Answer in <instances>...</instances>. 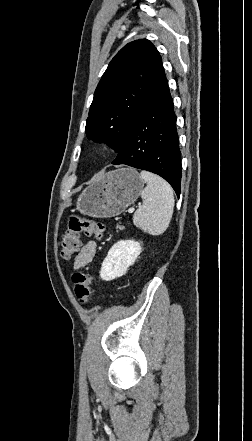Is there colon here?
I'll return each mask as SVG.
<instances>
[{
	"mask_svg": "<svg viewBox=\"0 0 252 441\" xmlns=\"http://www.w3.org/2000/svg\"><path fill=\"white\" fill-rule=\"evenodd\" d=\"M104 228L100 222L71 217L61 241L62 257L68 259L78 251L82 235L102 238ZM72 282L77 299L83 304L87 303L92 293L93 277L89 273L76 271L72 275Z\"/></svg>",
	"mask_w": 252,
	"mask_h": 441,
	"instance_id": "5ec220e1",
	"label": "colon"
}]
</instances>
